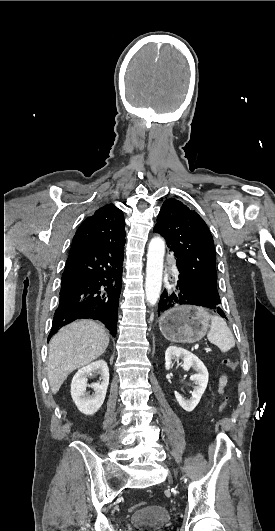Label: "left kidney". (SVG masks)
<instances>
[{
	"label": "left kidney",
	"instance_id": "5707ae66",
	"mask_svg": "<svg viewBox=\"0 0 275 531\" xmlns=\"http://www.w3.org/2000/svg\"><path fill=\"white\" fill-rule=\"evenodd\" d=\"M172 359H183L184 363L182 365L184 371H188V369H191V367H194L195 371H197L196 375H191L190 381H194L195 385H198V387H195L191 399H183L179 393H175V397L182 409L184 411H187V413H191V411H194L195 407H197L208 383L209 379V373L202 361L196 357V355H193V353H189V351H186V349H181V347H168L166 349L165 353V369L169 371L171 369Z\"/></svg>",
	"mask_w": 275,
	"mask_h": 531
}]
</instances>
